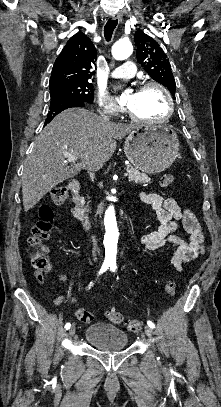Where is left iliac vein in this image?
Returning <instances> with one entry per match:
<instances>
[{
    "mask_svg": "<svg viewBox=\"0 0 221 407\" xmlns=\"http://www.w3.org/2000/svg\"><path fill=\"white\" fill-rule=\"evenodd\" d=\"M145 333L149 338H151L153 336V329L151 327H149V326H146L145 327Z\"/></svg>",
    "mask_w": 221,
    "mask_h": 407,
    "instance_id": "1",
    "label": "left iliac vein"
}]
</instances>
